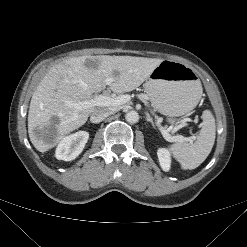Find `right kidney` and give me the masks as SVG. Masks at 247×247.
<instances>
[{"instance_id":"1","label":"right kidney","mask_w":247,"mask_h":247,"mask_svg":"<svg viewBox=\"0 0 247 247\" xmlns=\"http://www.w3.org/2000/svg\"><path fill=\"white\" fill-rule=\"evenodd\" d=\"M88 138L89 134L86 131H79L64 137L56 148L55 157L64 161L75 159L84 149Z\"/></svg>"}]
</instances>
